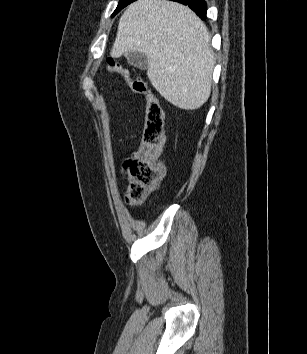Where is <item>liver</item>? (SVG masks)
Returning a JSON list of instances; mask_svg holds the SVG:
<instances>
[{"instance_id":"obj_1","label":"liver","mask_w":307,"mask_h":354,"mask_svg":"<svg viewBox=\"0 0 307 354\" xmlns=\"http://www.w3.org/2000/svg\"><path fill=\"white\" fill-rule=\"evenodd\" d=\"M129 52L147 56V76L172 105L201 107L211 93L215 66L211 37L187 6L168 0H137L119 20L111 56Z\"/></svg>"}]
</instances>
